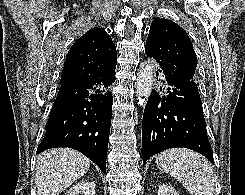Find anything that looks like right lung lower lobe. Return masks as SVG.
Masks as SVG:
<instances>
[{
	"label": "right lung lower lobe",
	"mask_w": 245,
	"mask_h": 195,
	"mask_svg": "<svg viewBox=\"0 0 245 195\" xmlns=\"http://www.w3.org/2000/svg\"><path fill=\"white\" fill-rule=\"evenodd\" d=\"M114 81V71L100 70L92 78L61 83L37 154L49 148H73L105 173Z\"/></svg>",
	"instance_id": "98d812e1"
}]
</instances>
